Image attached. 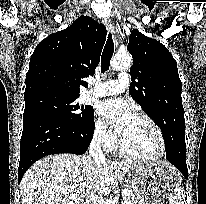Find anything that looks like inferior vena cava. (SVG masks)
<instances>
[{"instance_id": "obj_1", "label": "inferior vena cava", "mask_w": 206, "mask_h": 204, "mask_svg": "<svg viewBox=\"0 0 206 204\" xmlns=\"http://www.w3.org/2000/svg\"><path fill=\"white\" fill-rule=\"evenodd\" d=\"M103 139L101 136H94L90 147H89V155L95 160V161H105V156L101 150V143ZM87 204H101V198L92 195L90 198L87 200Z\"/></svg>"}]
</instances>
